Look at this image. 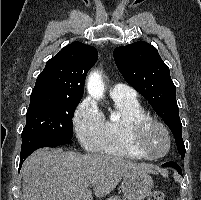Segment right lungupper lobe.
<instances>
[{
	"label": "right lung upper lobe",
	"instance_id": "1",
	"mask_svg": "<svg viewBox=\"0 0 201 200\" xmlns=\"http://www.w3.org/2000/svg\"><path fill=\"white\" fill-rule=\"evenodd\" d=\"M98 59L97 50L81 42L64 47L47 61L36 79L32 94L82 98L87 72Z\"/></svg>",
	"mask_w": 201,
	"mask_h": 200
}]
</instances>
